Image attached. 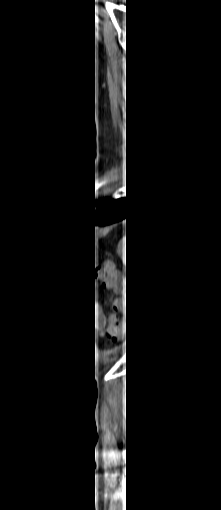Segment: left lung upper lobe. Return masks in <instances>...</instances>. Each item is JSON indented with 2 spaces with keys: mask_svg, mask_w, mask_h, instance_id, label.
<instances>
[{
  "mask_svg": "<svg viewBox=\"0 0 221 510\" xmlns=\"http://www.w3.org/2000/svg\"><path fill=\"white\" fill-rule=\"evenodd\" d=\"M112 201H108L107 199L104 198V196H100L97 199L94 198L91 203L90 211L100 210L109 205Z\"/></svg>",
  "mask_w": 221,
  "mask_h": 510,
  "instance_id": "1",
  "label": "left lung upper lobe"
}]
</instances>
